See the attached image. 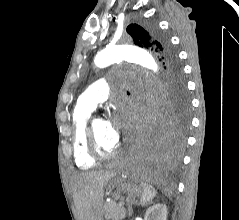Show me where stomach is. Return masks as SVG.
Masks as SVG:
<instances>
[{"label":"stomach","instance_id":"1","mask_svg":"<svg viewBox=\"0 0 239 220\" xmlns=\"http://www.w3.org/2000/svg\"><path fill=\"white\" fill-rule=\"evenodd\" d=\"M112 189L114 186H121V191L115 192H127L130 195H140L142 188L138 183H130V178H126V183H110Z\"/></svg>","mask_w":239,"mask_h":220}]
</instances>
